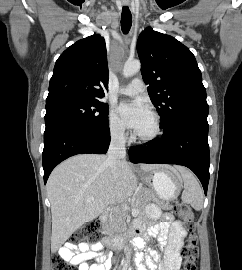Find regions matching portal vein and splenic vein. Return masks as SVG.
I'll return each instance as SVG.
<instances>
[{
	"instance_id": "18ae733b",
	"label": "portal vein and splenic vein",
	"mask_w": 242,
	"mask_h": 270,
	"mask_svg": "<svg viewBox=\"0 0 242 270\" xmlns=\"http://www.w3.org/2000/svg\"><path fill=\"white\" fill-rule=\"evenodd\" d=\"M89 200H94V198L90 197ZM123 209L127 211V210H130V207L127 204H123ZM138 213H139L138 209L136 208L132 209V214L137 215Z\"/></svg>"
}]
</instances>
